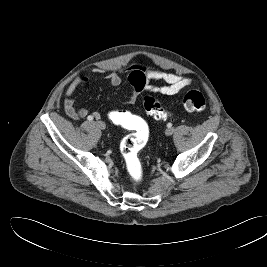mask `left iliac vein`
<instances>
[{
    "label": "left iliac vein",
    "mask_w": 267,
    "mask_h": 267,
    "mask_svg": "<svg viewBox=\"0 0 267 267\" xmlns=\"http://www.w3.org/2000/svg\"><path fill=\"white\" fill-rule=\"evenodd\" d=\"M174 133V129L173 128H167L166 131H165V134L170 136Z\"/></svg>",
    "instance_id": "left-iliac-vein-1"
}]
</instances>
